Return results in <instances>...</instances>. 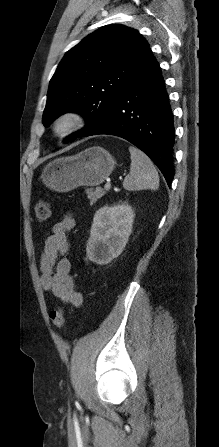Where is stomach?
Wrapping results in <instances>:
<instances>
[{
    "instance_id": "0dacf381",
    "label": "stomach",
    "mask_w": 219,
    "mask_h": 447,
    "mask_svg": "<svg viewBox=\"0 0 219 447\" xmlns=\"http://www.w3.org/2000/svg\"><path fill=\"white\" fill-rule=\"evenodd\" d=\"M116 161L105 149L93 146L80 153L55 159L41 174L43 183L53 191L68 192L79 186H97L114 170Z\"/></svg>"
}]
</instances>
